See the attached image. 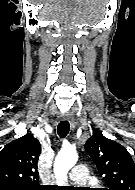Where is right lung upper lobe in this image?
Here are the masks:
<instances>
[{
  "label": "right lung upper lobe",
  "mask_w": 135,
  "mask_h": 190,
  "mask_svg": "<svg viewBox=\"0 0 135 190\" xmlns=\"http://www.w3.org/2000/svg\"><path fill=\"white\" fill-rule=\"evenodd\" d=\"M40 142L28 133L7 144L0 152V187L40 189L37 162Z\"/></svg>",
  "instance_id": "cb5924a9"
}]
</instances>
